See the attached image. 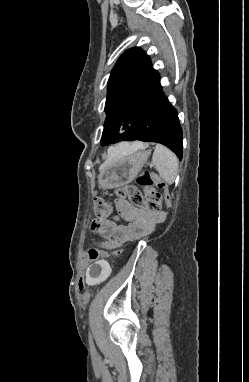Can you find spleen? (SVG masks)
<instances>
[{"label":"spleen","mask_w":249,"mask_h":382,"mask_svg":"<svg viewBox=\"0 0 249 382\" xmlns=\"http://www.w3.org/2000/svg\"><path fill=\"white\" fill-rule=\"evenodd\" d=\"M152 163L166 183H174L178 172V159L172 151L157 144L152 156Z\"/></svg>","instance_id":"3e777b00"}]
</instances>
